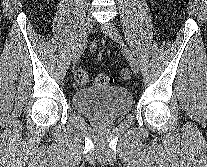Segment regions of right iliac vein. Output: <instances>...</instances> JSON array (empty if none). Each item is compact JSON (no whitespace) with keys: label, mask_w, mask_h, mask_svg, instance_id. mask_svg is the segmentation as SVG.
Returning <instances> with one entry per match:
<instances>
[{"label":"right iliac vein","mask_w":207,"mask_h":167,"mask_svg":"<svg viewBox=\"0 0 207 167\" xmlns=\"http://www.w3.org/2000/svg\"><path fill=\"white\" fill-rule=\"evenodd\" d=\"M92 27H93V20L90 16H88L83 25V31H82L79 43L75 49L74 55H73V64H76L78 62L81 54L83 53Z\"/></svg>","instance_id":"63e3f726"}]
</instances>
